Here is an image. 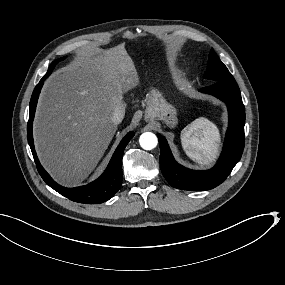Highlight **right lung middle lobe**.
<instances>
[{"mask_svg": "<svg viewBox=\"0 0 285 285\" xmlns=\"http://www.w3.org/2000/svg\"><path fill=\"white\" fill-rule=\"evenodd\" d=\"M65 58H66V57H63V58H60V59H57V60L53 61V62L51 63V65H50L49 69H48V72L46 73V75H45L43 78H44V79L47 78V77L51 74V72H52V70L54 69L55 65H56L59 61L64 60Z\"/></svg>", "mask_w": 285, "mask_h": 285, "instance_id": "obj_1", "label": "right lung middle lobe"}]
</instances>
